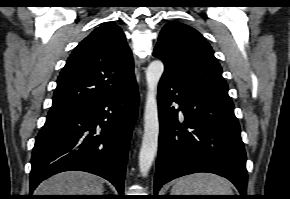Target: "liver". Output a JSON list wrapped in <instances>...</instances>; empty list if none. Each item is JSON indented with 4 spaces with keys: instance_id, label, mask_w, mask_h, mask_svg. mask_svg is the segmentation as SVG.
<instances>
[{
    "instance_id": "1",
    "label": "liver",
    "mask_w": 290,
    "mask_h": 199,
    "mask_svg": "<svg viewBox=\"0 0 290 199\" xmlns=\"http://www.w3.org/2000/svg\"><path fill=\"white\" fill-rule=\"evenodd\" d=\"M36 195H102L103 180L86 172H62L43 181Z\"/></svg>"
}]
</instances>
